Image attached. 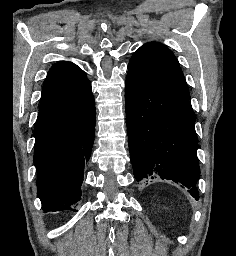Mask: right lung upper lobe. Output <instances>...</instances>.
Masks as SVG:
<instances>
[{"mask_svg": "<svg viewBox=\"0 0 236 256\" xmlns=\"http://www.w3.org/2000/svg\"><path fill=\"white\" fill-rule=\"evenodd\" d=\"M87 81L86 74L77 65L67 61L54 64L44 82L40 111L50 107Z\"/></svg>", "mask_w": 236, "mask_h": 256, "instance_id": "1", "label": "right lung upper lobe"}]
</instances>
